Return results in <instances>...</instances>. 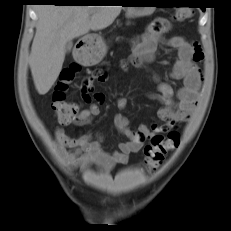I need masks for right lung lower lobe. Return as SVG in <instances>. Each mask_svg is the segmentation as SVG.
Here are the masks:
<instances>
[{"mask_svg": "<svg viewBox=\"0 0 231 231\" xmlns=\"http://www.w3.org/2000/svg\"><path fill=\"white\" fill-rule=\"evenodd\" d=\"M38 3H54L56 5H76V3L71 0H33Z\"/></svg>", "mask_w": 231, "mask_h": 231, "instance_id": "obj_1", "label": "right lung lower lobe"}]
</instances>
